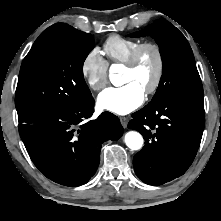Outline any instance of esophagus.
<instances>
[{
  "label": "esophagus",
  "mask_w": 221,
  "mask_h": 221,
  "mask_svg": "<svg viewBox=\"0 0 221 221\" xmlns=\"http://www.w3.org/2000/svg\"><path fill=\"white\" fill-rule=\"evenodd\" d=\"M120 122H121L122 126L124 128H126L127 124H128V118L127 117H120Z\"/></svg>",
  "instance_id": "esophagus-1"
}]
</instances>
